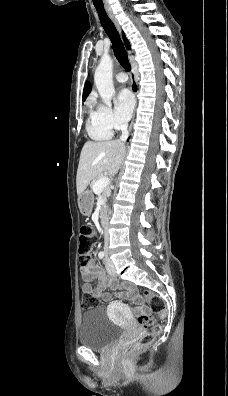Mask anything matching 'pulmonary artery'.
Wrapping results in <instances>:
<instances>
[{
  "mask_svg": "<svg viewBox=\"0 0 228 396\" xmlns=\"http://www.w3.org/2000/svg\"><path fill=\"white\" fill-rule=\"evenodd\" d=\"M116 81L120 82V83H125L128 79L127 75L125 73H118L115 76Z\"/></svg>",
  "mask_w": 228,
  "mask_h": 396,
  "instance_id": "pulmonary-artery-1",
  "label": "pulmonary artery"
}]
</instances>
